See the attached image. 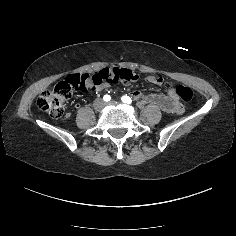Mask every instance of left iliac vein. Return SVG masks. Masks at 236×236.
Listing matches in <instances>:
<instances>
[{
	"mask_svg": "<svg viewBox=\"0 0 236 236\" xmlns=\"http://www.w3.org/2000/svg\"><path fill=\"white\" fill-rule=\"evenodd\" d=\"M108 104H109V105H116V104H118V102H117V101H111V102H109Z\"/></svg>",
	"mask_w": 236,
	"mask_h": 236,
	"instance_id": "1",
	"label": "left iliac vein"
}]
</instances>
